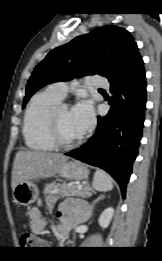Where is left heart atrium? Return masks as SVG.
<instances>
[{
  "mask_svg": "<svg viewBox=\"0 0 162 261\" xmlns=\"http://www.w3.org/2000/svg\"><path fill=\"white\" fill-rule=\"evenodd\" d=\"M71 118L81 134L90 129L94 123V112L88 100L78 102L70 111Z\"/></svg>",
  "mask_w": 162,
  "mask_h": 261,
  "instance_id": "obj_1",
  "label": "left heart atrium"
}]
</instances>
